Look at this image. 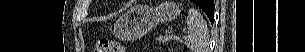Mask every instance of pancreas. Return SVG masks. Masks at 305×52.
<instances>
[{
    "label": "pancreas",
    "instance_id": "pancreas-1",
    "mask_svg": "<svg viewBox=\"0 0 305 52\" xmlns=\"http://www.w3.org/2000/svg\"><path fill=\"white\" fill-rule=\"evenodd\" d=\"M175 38L170 36V35H164V36H159L156 38V42L160 43H168V42H171V41H174Z\"/></svg>",
    "mask_w": 305,
    "mask_h": 52
}]
</instances>
